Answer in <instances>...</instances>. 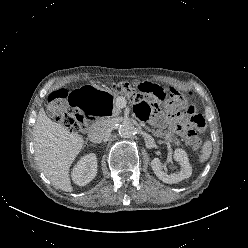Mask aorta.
Instances as JSON below:
<instances>
[{
  "mask_svg": "<svg viewBox=\"0 0 248 248\" xmlns=\"http://www.w3.org/2000/svg\"><path fill=\"white\" fill-rule=\"evenodd\" d=\"M119 135L123 138H130L134 135L135 128L130 121H124L118 128Z\"/></svg>",
  "mask_w": 248,
  "mask_h": 248,
  "instance_id": "1",
  "label": "aorta"
}]
</instances>
